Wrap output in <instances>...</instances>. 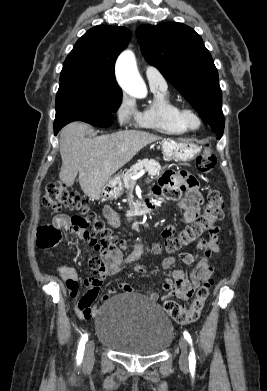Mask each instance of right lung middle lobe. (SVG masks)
Listing matches in <instances>:
<instances>
[{
  "label": "right lung middle lobe",
  "instance_id": "1",
  "mask_svg": "<svg viewBox=\"0 0 267 391\" xmlns=\"http://www.w3.org/2000/svg\"><path fill=\"white\" fill-rule=\"evenodd\" d=\"M121 101L119 86L100 78L81 75L60 79L54 127L61 129L72 121L109 127L112 112L117 111Z\"/></svg>",
  "mask_w": 267,
  "mask_h": 391
}]
</instances>
